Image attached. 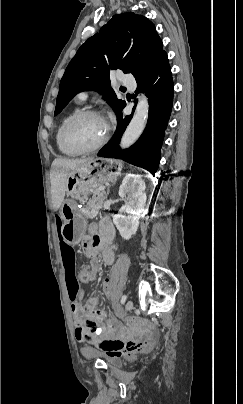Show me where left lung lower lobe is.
Instances as JSON below:
<instances>
[{
  "mask_svg": "<svg viewBox=\"0 0 243 404\" xmlns=\"http://www.w3.org/2000/svg\"><path fill=\"white\" fill-rule=\"evenodd\" d=\"M137 81L136 93L144 92L149 98V117L138 141L129 149L120 151L119 142L132 115L118 118L117 130L98 156L123 159L154 174L159 166L160 149L173 103V80L166 52L144 72Z\"/></svg>",
  "mask_w": 243,
  "mask_h": 404,
  "instance_id": "1",
  "label": "left lung lower lobe"
}]
</instances>
